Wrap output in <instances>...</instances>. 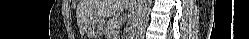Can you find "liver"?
<instances>
[{
    "label": "liver",
    "mask_w": 249,
    "mask_h": 39,
    "mask_svg": "<svg viewBox=\"0 0 249 39\" xmlns=\"http://www.w3.org/2000/svg\"><path fill=\"white\" fill-rule=\"evenodd\" d=\"M123 2L124 0H81L79 7L83 30L89 20H103L120 15L123 11Z\"/></svg>",
    "instance_id": "6515ba94"
}]
</instances>
